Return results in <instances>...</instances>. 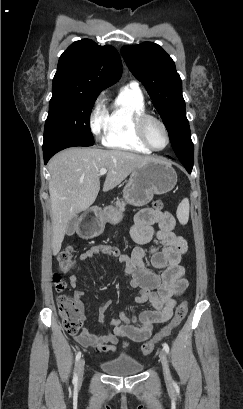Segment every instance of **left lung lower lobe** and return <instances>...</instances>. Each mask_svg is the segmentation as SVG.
I'll use <instances>...</instances> for the list:
<instances>
[{
    "instance_id": "obj_1",
    "label": "left lung lower lobe",
    "mask_w": 243,
    "mask_h": 409,
    "mask_svg": "<svg viewBox=\"0 0 243 409\" xmlns=\"http://www.w3.org/2000/svg\"><path fill=\"white\" fill-rule=\"evenodd\" d=\"M183 165L185 166L188 173H191L193 165H189V164H183Z\"/></svg>"
}]
</instances>
